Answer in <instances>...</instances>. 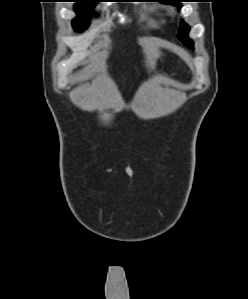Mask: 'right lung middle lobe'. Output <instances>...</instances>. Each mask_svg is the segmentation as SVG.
<instances>
[{
    "mask_svg": "<svg viewBox=\"0 0 248 299\" xmlns=\"http://www.w3.org/2000/svg\"><path fill=\"white\" fill-rule=\"evenodd\" d=\"M101 0H81L77 1L74 5V10L77 13V17L73 19L72 25L75 31L82 32L88 27L87 15L91 13L95 3Z\"/></svg>",
    "mask_w": 248,
    "mask_h": 299,
    "instance_id": "obj_1",
    "label": "right lung middle lobe"
}]
</instances>
